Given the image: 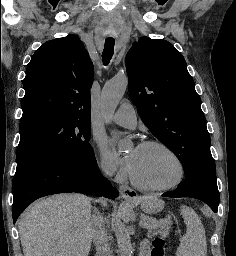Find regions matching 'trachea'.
Returning a JSON list of instances; mask_svg holds the SVG:
<instances>
[{"label": "trachea", "mask_w": 236, "mask_h": 256, "mask_svg": "<svg viewBox=\"0 0 236 256\" xmlns=\"http://www.w3.org/2000/svg\"><path fill=\"white\" fill-rule=\"evenodd\" d=\"M115 41L113 38H106L105 46L102 54V60L104 65H108L112 56H113V49H114Z\"/></svg>", "instance_id": "3493384b"}]
</instances>
